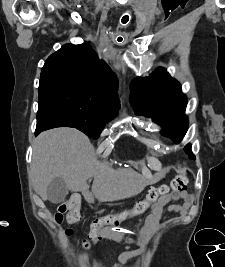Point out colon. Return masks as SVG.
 <instances>
[{"label":"colon","mask_w":225,"mask_h":267,"mask_svg":"<svg viewBox=\"0 0 225 267\" xmlns=\"http://www.w3.org/2000/svg\"><path fill=\"white\" fill-rule=\"evenodd\" d=\"M189 185L190 181L188 178V171L183 168L177 169L175 177L169 185L151 187L147 192L146 198L137 202L133 208L125 210L119 214L110 213L95 219L91 224V234H89V236L82 242L83 247H90L93 244L92 238L94 236L105 233L103 231L104 228L108 226L116 227L126 218L145 213L150 205L157 201L160 197L165 196L170 192H185L189 188ZM80 206V198L78 196H72L66 202H62L58 205L55 213V220L57 222H62L65 215L66 220L70 225L77 223L81 219ZM74 232L75 230L72 227L66 229V234L69 236L73 235Z\"/></svg>","instance_id":"colon-1"}]
</instances>
